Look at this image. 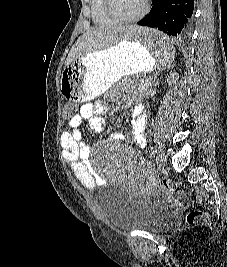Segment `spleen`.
I'll use <instances>...</instances> for the list:
<instances>
[{"label": "spleen", "instance_id": "obj_1", "mask_svg": "<svg viewBox=\"0 0 227 267\" xmlns=\"http://www.w3.org/2000/svg\"><path fill=\"white\" fill-rule=\"evenodd\" d=\"M121 30H132L126 33L130 43H141V47H148L154 63H173V55H176L175 39L166 38L165 31H157V27H142V25H121Z\"/></svg>", "mask_w": 227, "mask_h": 267}]
</instances>
